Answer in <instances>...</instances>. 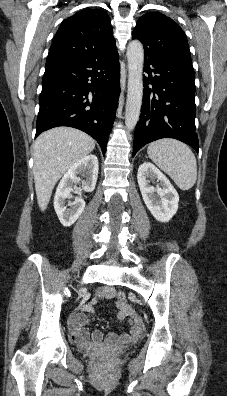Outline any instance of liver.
Instances as JSON below:
<instances>
[{
  "label": "liver",
  "mask_w": 227,
  "mask_h": 396,
  "mask_svg": "<svg viewBox=\"0 0 227 396\" xmlns=\"http://www.w3.org/2000/svg\"><path fill=\"white\" fill-rule=\"evenodd\" d=\"M94 147L93 138L70 127L53 128L38 136L34 143L33 174L41 211L46 210L57 181Z\"/></svg>",
  "instance_id": "liver-1"
}]
</instances>
